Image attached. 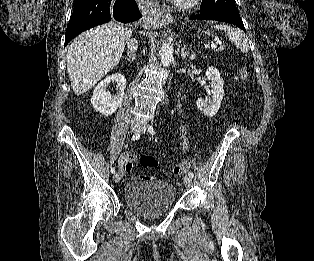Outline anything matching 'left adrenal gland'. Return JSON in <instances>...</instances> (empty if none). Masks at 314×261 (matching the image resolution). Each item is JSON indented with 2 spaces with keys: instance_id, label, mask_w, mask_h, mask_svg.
Here are the masks:
<instances>
[{
  "instance_id": "left-adrenal-gland-1",
  "label": "left adrenal gland",
  "mask_w": 314,
  "mask_h": 261,
  "mask_svg": "<svg viewBox=\"0 0 314 261\" xmlns=\"http://www.w3.org/2000/svg\"><path fill=\"white\" fill-rule=\"evenodd\" d=\"M188 56V53L185 51V46L181 49V57L182 59H186Z\"/></svg>"
}]
</instances>
